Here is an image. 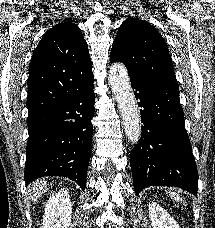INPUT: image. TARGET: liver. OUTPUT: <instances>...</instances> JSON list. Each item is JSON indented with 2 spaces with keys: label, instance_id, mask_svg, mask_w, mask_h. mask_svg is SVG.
Masks as SVG:
<instances>
[{
  "label": "liver",
  "instance_id": "6515ba94",
  "mask_svg": "<svg viewBox=\"0 0 215 228\" xmlns=\"http://www.w3.org/2000/svg\"><path fill=\"white\" fill-rule=\"evenodd\" d=\"M47 186L48 182H45V180H36V182H32V184L28 186L29 200H37V198H40V196L44 194Z\"/></svg>",
  "mask_w": 215,
  "mask_h": 228
}]
</instances>
